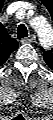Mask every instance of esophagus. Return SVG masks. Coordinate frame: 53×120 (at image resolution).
Masks as SVG:
<instances>
[{"instance_id":"obj_1","label":"esophagus","mask_w":53,"mask_h":120,"mask_svg":"<svg viewBox=\"0 0 53 120\" xmlns=\"http://www.w3.org/2000/svg\"><path fill=\"white\" fill-rule=\"evenodd\" d=\"M35 39H36V37L34 35H30L29 37L22 39L21 42L22 43H32L35 41Z\"/></svg>"}]
</instances>
